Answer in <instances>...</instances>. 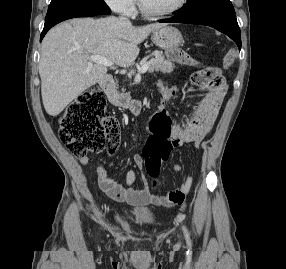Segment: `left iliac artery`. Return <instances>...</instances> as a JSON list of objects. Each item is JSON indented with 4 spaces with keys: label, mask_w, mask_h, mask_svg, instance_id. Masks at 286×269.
I'll list each match as a JSON object with an SVG mask.
<instances>
[{
    "label": "left iliac artery",
    "mask_w": 286,
    "mask_h": 269,
    "mask_svg": "<svg viewBox=\"0 0 286 269\" xmlns=\"http://www.w3.org/2000/svg\"><path fill=\"white\" fill-rule=\"evenodd\" d=\"M183 230H184V233H185L187 244L190 245L191 241H190L188 230H187V228L185 226H183Z\"/></svg>",
    "instance_id": "44dca946"
}]
</instances>
